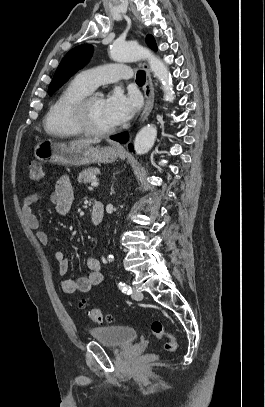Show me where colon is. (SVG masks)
Masks as SVG:
<instances>
[{"instance_id": "5ec220e1", "label": "colon", "mask_w": 265, "mask_h": 407, "mask_svg": "<svg viewBox=\"0 0 265 407\" xmlns=\"http://www.w3.org/2000/svg\"><path fill=\"white\" fill-rule=\"evenodd\" d=\"M44 173L42 165L39 161H31L29 164L28 180L31 183L39 182L43 179ZM77 306L80 308H85L86 303L84 300H79ZM88 315L90 319L94 322L101 323L103 321H111V315H105L100 309L91 308L88 310ZM151 333L156 338L164 340V350L166 352H174L177 348V340L175 335L169 331L161 321L155 320L150 326ZM155 355H150L148 359L154 360Z\"/></svg>"}]
</instances>
